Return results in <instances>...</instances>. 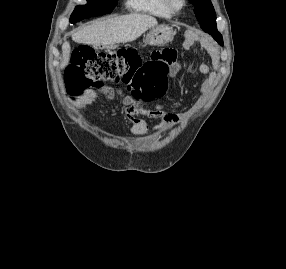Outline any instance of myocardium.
<instances>
[{"label":"myocardium","mask_w":286,"mask_h":269,"mask_svg":"<svg viewBox=\"0 0 286 269\" xmlns=\"http://www.w3.org/2000/svg\"><path fill=\"white\" fill-rule=\"evenodd\" d=\"M164 1L167 9L172 14L180 13L186 5V0H164Z\"/></svg>","instance_id":"1"}]
</instances>
